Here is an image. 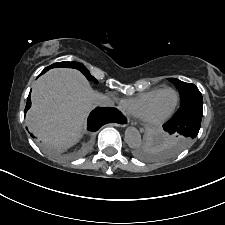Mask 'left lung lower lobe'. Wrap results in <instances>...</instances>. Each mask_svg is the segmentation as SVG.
<instances>
[{"label": "left lung lower lobe", "instance_id": "obj_1", "mask_svg": "<svg viewBox=\"0 0 225 225\" xmlns=\"http://www.w3.org/2000/svg\"><path fill=\"white\" fill-rule=\"evenodd\" d=\"M202 115L203 107H192L176 113L163 128L170 135L178 134L188 139H194L199 132ZM179 147H184V144Z\"/></svg>", "mask_w": 225, "mask_h": 225}]
</instances>
